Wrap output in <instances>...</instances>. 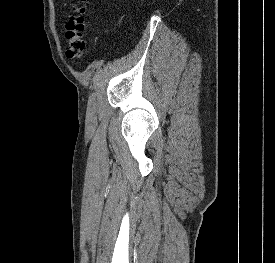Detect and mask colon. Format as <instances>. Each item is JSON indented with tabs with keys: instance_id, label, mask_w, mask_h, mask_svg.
Returning a JSON list of instances; mask_svg holds the SVG:
<instances>
[{
	"instance_id": "1",
	"label": "colon",
	"mask_w": 275,
	"mask_h": 263,
	"mask_svg": "<svg viewBox=\"0 0 275 263\" xmlns=\"http://www.w3.org/2000/svg\"><path fill=\"white\" fill-rule=\"evenodd\" d=\"M87 0H76L72 15L66 23L68 40L66 55L70 60L81 61L87 52L86 36Z\"/></svg>"
}]
</instances>
